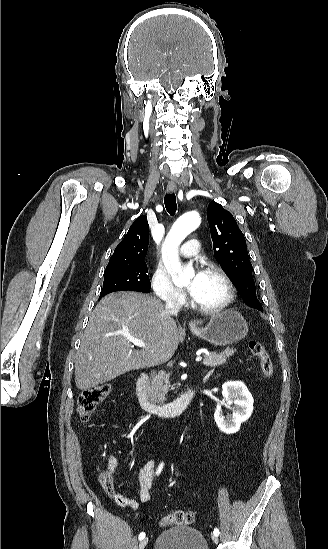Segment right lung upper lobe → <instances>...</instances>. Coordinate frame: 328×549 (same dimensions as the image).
<instances>
[{"mask_svg": "<svg viewBox=\"0 0 328 549\" xmlns=\"http://www.w3.org/2000/svg\"><path fill=\"white\" fill-rule=\"evenodd\" d=\"M148 230L147 217H138L115 248L105 271L144 261L149 242Z\"/></svg>", "mask_w": 328, "mask_h": 549, "instance_id": "obj_1", "label": "right lung upper lobe"}]
</instances>
